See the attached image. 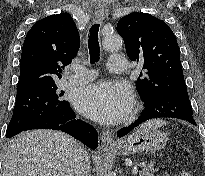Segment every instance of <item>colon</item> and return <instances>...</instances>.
I'll return each instance as SVG.
<instances>
[{
  "label": "colon",
  "mask_w": 205,
  "mask_h": 176,
  "mask_svg": "<svg viewBox=\"0 0 205 176\" xmlns=\"http://www.w3.org/2000/svg\"><path fill=\"white\" fill-rule=\"evenodd\" d=\"M178 176H191V174L185 170H182Z\"/></svg>",
  "instance_id": "5ec220e1"
}]
</instances>
